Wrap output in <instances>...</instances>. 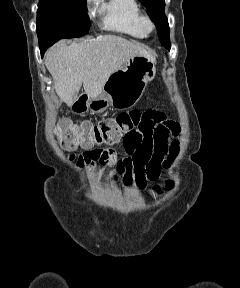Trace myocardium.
Returning a JSON list of instances; mask_svg holds the SVG:
<instances>
[{"label": "myocardium", "instance_id": "1", "mask_svg": "<svg viewBox=\"0 0 240 288\" xmlns=\"http://www.w3.org/2000/svg\"><path fill=\"white\" fill-rule=\"evenodd\" d=\"M138 24L145 35H150L156 29L154 20L146 13L140 14Z\"/></svg>", "mask_w": 240, "mask_h": 288}]
</instances>
